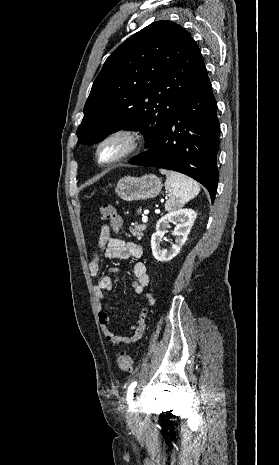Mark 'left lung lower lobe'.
Here are the masks:
<instances>
[{
  "label": "left lung lower lobe",
  "instance_id": "0a47b994",
  "mask_svg": "<svg viewBox=\"0 0 279 465\" xmlns=\"http://www.w3.org/2000/svg\"><path fill=\"white\" fill-rule=\"evenodd\" d=\"M220 126L204 62L184 101L160 138L131 164L181 172L204 185L214 201Z\"/></svg>",
  "mask_w": 279,
  "mask_h": 465
}]
</instances>
